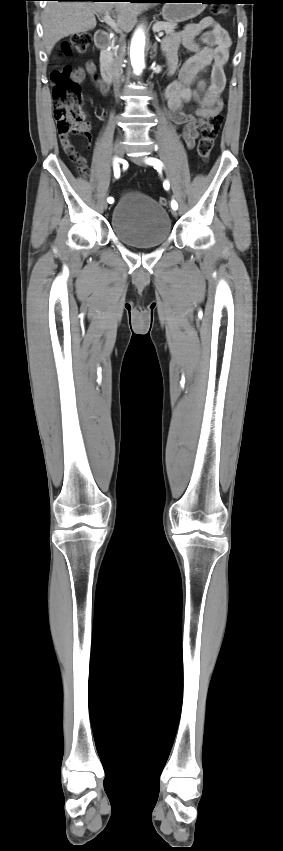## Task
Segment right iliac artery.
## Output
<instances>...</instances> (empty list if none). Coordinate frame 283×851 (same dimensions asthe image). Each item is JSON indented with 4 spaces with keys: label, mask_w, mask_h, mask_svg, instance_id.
Here are the masks:
<instances>
[{
    "label": "right iliac artery",
    "mask_w": 283,
    "mask_h": 851,
    "mask_svg": "<svg viewBox=\"0 0 283 851\" xmlns=\"http://www.w3.org/2000/svg\"><path fill=\"white\" fill-rule=\"evenodd\" d=\"M117 162H118V160H117V159H115L113 169H114V176H115L116 178H119V176H120V168H119V165H118V163H117ZM107 201H108L109 203H113V202H114V199H113L112 197H109V198L107 199Z\"/></svg>",
    "instance_id": "1"
}]
</instances>
